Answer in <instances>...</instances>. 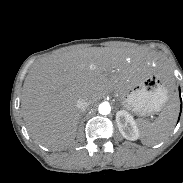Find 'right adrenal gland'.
Segmentation results:
<instances>
[{"mask_svg":"<svg viewBox=\"0 0 183 183\" xmlns=\"http://www.w3.org/2000/svg\"><path fill=\"white\" fill-rule=\"evenodd\" d=\"M83 113H84V112H80V119H81V116H82Z\"/></svg>","mask_w":183,"mask_h":183,"instance_id":"right-adrenal-gland-1","label":"right adrenal gland"}]
</instances>
